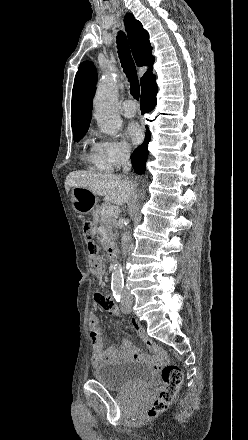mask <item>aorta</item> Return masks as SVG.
<instances>
[{
    "mask_svg": "<svg viewBox=\"0 0 248 440\" xmlns=\"http://www.w3.org/2000/svg\"><path fill=\"white\" fill-rule=\"evenodd\" d=\"M95 119L100 130L108 135L115 136L119 132L122 120L117 106V86L112 77H106L98 85L94 98ZM123 286L122 267L114 265L111 287L120 289Z\"/></svg>",
    "mask_w": 248,
    "mask_h": 440,
    "instance_id": "obj_1",
    "label": "aorta"
}]
</instances>
